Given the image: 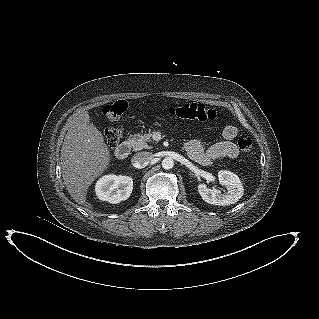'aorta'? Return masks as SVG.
Here are the masks:
<instances>
[{
	"instance_id": "762f6f07",
	"label": "aorta",
	"mask_w": 319,
	"mask_h": 319,
	"mask_svg": "<svg viewBox=\"0 0 319 319\" xmlns=\"http://www.w3.org/2000/svg\"><path fill=\"white\" fill-rule=\"evenodd\" d=\"M162 167L166 170L172 169L174 167V160L171 157H165L162 160Z\"/></svg>"
}]
</instances>
